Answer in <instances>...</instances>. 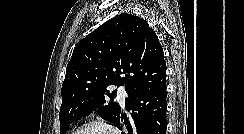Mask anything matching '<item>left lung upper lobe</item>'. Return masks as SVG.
Returning <instances> with one entry per match:
<instances>
[{
	"label": "left lung upper lobe",
	"instance_id": "1",
	"mask_svg": "<svg viewBox=\"0 0 244 134\" xmlns=\"http://www.w3.org/2000/svg\"><path fill=\"white\" fill-rule=\"evenodd\" d=\"M122 76V77H121ZM166 84V62L156 33L146 20L123 13L108 20L76 45L62 84L60 134L70 124L98 110L115 124L121 108L113 100L126 86L129 95Z\"/></svg>",
	"mask_w": 244,
	"mask_h": 134
}]
</instances>
